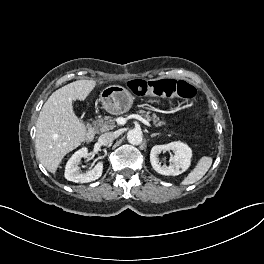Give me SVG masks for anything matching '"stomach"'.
Returning <instances> with one entry per match:
<instances>
[{"mask_svg": "<svg viewBox=\"0 0 264 264\" xmlns=\"http://www.w3.org/2000/svg\"><path fill=\"white\" fill-rule=\"evenodd\" d=\"M102 108L113 115L127 112L133 104V95L123 86L111 85L100 93Z\"/></svg>", "mask_w": 264, "mask_h": 264, "instance_id": "1", "label": "stomach"}]
</instances>
